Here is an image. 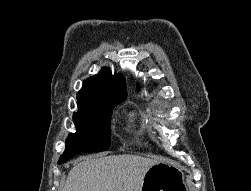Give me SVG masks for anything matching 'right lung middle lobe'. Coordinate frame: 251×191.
Segmentation results:
<instances>
[{
    "label": "right lung middle lobe",
    "mask_w": 251,
    "mask_h": 191,
    "mask_svg": "<svg viewBox=\"0 0 251 191\" xmlns=\"http://www.w3.org/2000/svg\"><path fill=\"white\" fill-rule=\"evenodd\" d=\"M116 105L87 107L74 113L73 122L77 132L69 134L59 164L79 153L99 152L109 148L111 108Z\"/></svg>",
    "instance_id": "1"
}]
</instances>
